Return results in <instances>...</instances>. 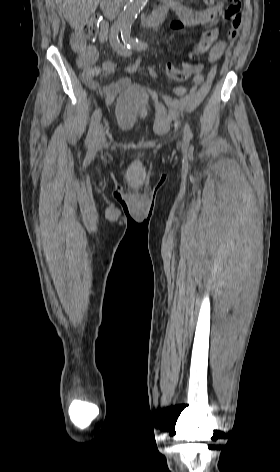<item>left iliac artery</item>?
I'll list each match as a JSON object with an SVG mask.
<instances>
[{"mask_svg": "<svg viewBox=\"0 0 280 472\" xmlns=\"http://www.w3.org/2000/svg\"><path fill=\"white\" fill-rule=\"evenodd\" d=\"M131 26L126 25L122 27L121 30V38L129 48L136 49V50H145L147 48V43L139 40L132 38L131 35ZM192 138V131L190 129V126L188 124H185L184 126V139L185 140H190Z\"/></svg>", "mask_w": 280, "mask_h": 472, "instance_id": "44dca946", "label": "left iliac artery"}]
</instances>
